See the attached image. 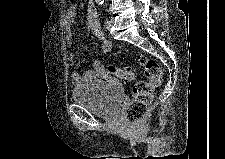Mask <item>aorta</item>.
<instances>
[{
  "mask_svg": "<svg viewBox=\"0 0 225 159\" xmlns=\"http://www.w3.org/2000/svg\"><path fill=\"white\" fill-rule=\"evenodd\" d=\"M98 2L102 3L103 1L101 0V1H98Z\"/></svg>",
  "mask_w": 225,
  "mask_h": 159,
  "instance_id": "762f6f07",
  "label": "aorta"
}]
</instances>
